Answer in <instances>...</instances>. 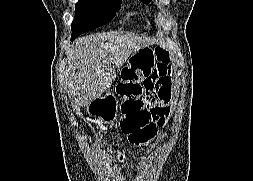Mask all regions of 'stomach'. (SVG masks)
I'll return each instance as SVG.
<instances>
[{"label": "stomach", "mask_w": 253, "mask_h": 181, "mask_svg": "<svg viewBox=\"0 0 253 181\" xmlns=\"http://www.w3.org/2000/svg\"><path fill=\"white\" fill-rule=\"evenodd\" d=\"M118 104L112 94L104 97H98L87 105V112L93 116L99 117L105 122L114 120L117 114Z\"/></svg>", "instance_id": "1"}]
</instances>
